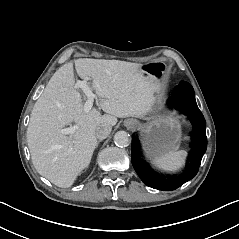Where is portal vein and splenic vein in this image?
Listing matches in <instances>:
<instances>
[{
	"mask_svg": "<svg viewBox=\"0 0 239 239\" xmlns=\"http://www.w3.org/2000/svg\"><path fill=\"white\" fill-rule=\"evenodd\" d=\"M76 85L85 93L87 99H86V102L84 104V109L86 111H89L94 104L95 94L89 88L86 78L84 80H78ZM59 131H60L61 134L68 135V134H71L72 132H74L75 128L74 127L62 128Z\"/></svg>",
	"mask_w": 239,
	"mask_h": 239,
	"instance_id": "18ae733b",
	"label": "portal vein and splenic vein"
}]
</instances>
